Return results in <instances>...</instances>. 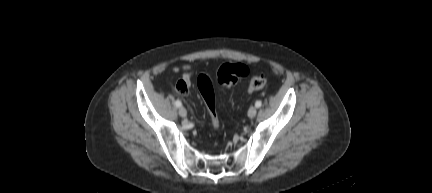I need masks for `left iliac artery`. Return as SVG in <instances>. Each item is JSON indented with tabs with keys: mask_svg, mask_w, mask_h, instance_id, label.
I'll return each mask as SVG.
<instances>
[{
	"mask_svg": "<svg viewBox=\"0 0 432 193\" xmlns=\"http://www.w3.org/2000/svg\"><path fill=\"white\" fill-rule=\"evenodd\" d=\"M261 105H262V102L260 100L256 101L255 106L257 108L261 107Z\"/></svg>",
	"mask_w": 432,
	"mask_h": 193,
	"instance_id": "44dca946",
	"label": "left iliac artery"
}]
</instances>
